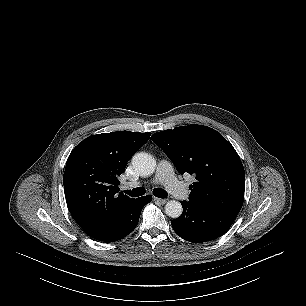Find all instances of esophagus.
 <instances>
[{
	"label": "esophagus",
	"mask_w": 306,
	"mask_h": 306,
	"mask_svg": "<svg viewBox=\"0 0 306 306\" xmlns=\"http://www.w3.org/2000/svg\"><path fill=\"white\" fill-rule=\"evenodd\" d=\"M154 201L159 202L161 204H165L168 201V199H162V198L154 197Z\"/></svg>",
	"instance_id": "esophagus-1"
}]
</instances>
